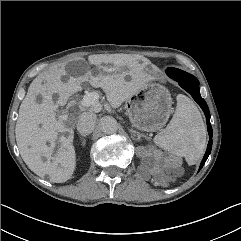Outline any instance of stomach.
Listing matches in <instances>:
<instances>
[{"mask_svg":"<svg viewBox=\"0 0 241 241\" xmlns=\"http://www.w3.org/2000/svg\"><path fill=\"white\" fill-rule=\"evenodd\" d=\"M125 107L135 128L155 132L167 123L172 111V98L164 86L152 82L131 96Z\"/></svg>","mask_w":241,"mask_h":241,"instance_id":"0dacf381","label":"stomach"}]
</instances>
